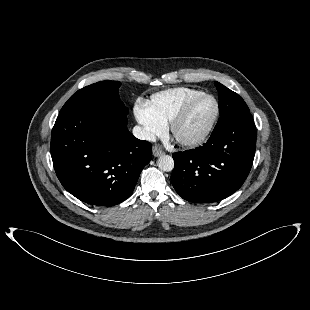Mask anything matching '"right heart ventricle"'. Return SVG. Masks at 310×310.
<instances>
[{
	"mask_svg": "<svg viewBox=\"0 0 310 310\" xmlns=\"http://www.w3.org/2000/svg\"><path fill=\"white\" fill-rule=\"evenodd\" d=\"M202 93L187 87L172 88L153 94L148 104L159 119L168 123L188 100Z\"/></svg>",
	"mask_w": 310,
	"mask_h": 310,
	"instance_id": "obj_1",
	"label": "right heart ventricle"
}]
</instances>
